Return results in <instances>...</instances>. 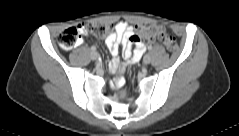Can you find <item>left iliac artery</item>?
I'll return each instance as SVG.
<instances>
[{
  "label": "left iliac artery",
  "mask_w": 239,
  "mask_h": 136,
  "mask_svg": "<svg viewBox=\"0 0 239 136\" xmlns=\"http://www.w3.org/2000/svg\"><path fill=\"white\" fill-rule=\"evenodd\" d=\"M152 49V46H148V50H151Z\"/></svg>",
  "instance_id": "left-iliac-artery-1"
}]
</instances>
